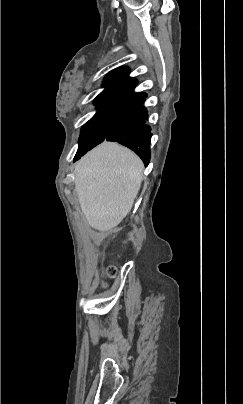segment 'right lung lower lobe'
Masks as SVG:
<instances>
[{"label":"right lung lower lobe","instance_id":"98d812e1","mask_svg":"<svg viewBox=\"0 0 243 404\" xmlns=\"http://www.w3.org/2000/svg\"><path fill=\"white\" fill-rule=\"evenodd\" d=\"M145 98L130 103L111 127L106 141L118 142L133 150L144 162L150 161V127L145 124L147 110L143 106Z\"/></svg>","mask_w":243,"mask_h":404}]
</instances>
